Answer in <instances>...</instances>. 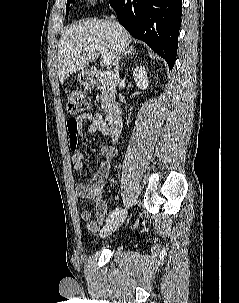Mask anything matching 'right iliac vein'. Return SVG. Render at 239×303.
I'll return each mask as SVG.
<instances>
[{"label":"right iliac vein","instance_id":"1","mask_svg":"<svg viewBox=\"0 0 239 303\" xmlns=\"http://www.w3.org/2000/svg\"><path fill=\"white\" fill-rule=\"evenodd\" d=\"M127 216V211L122 210L114 219L108 222L100 231V236L106 238L110 236L115 230H117L120 225L124 222Z\"/></svg>","mask_w":239,"mask_h":303}]
</instances>
